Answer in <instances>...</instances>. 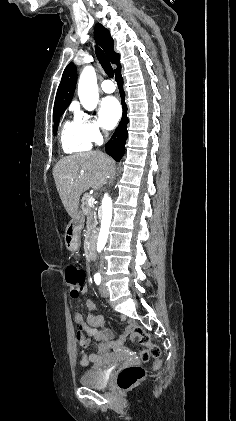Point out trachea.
Here are the masks:
<instances>
[{
	"label": "trachea",
	"instance_id": "obj_1",
	"mask_svg": "<svg viewBox=\"0 0 236 421\" xmlns=\"http://www.w3.org/2000/svg\"><path fill=\"white\" fill-rule=\"evenodd\" d=\"M95 53H96V57L98 58L99 63L101 64L102 68L104 69L108 77L113 78L114 71H113L110 61L108 60V57L99 47L95 48Z\"/></svg>",
	"mask_w": 236,
	"mask_h": 421
}]
</instances>
